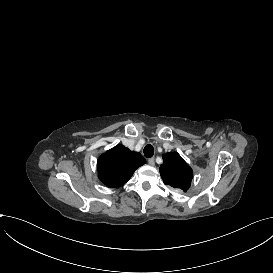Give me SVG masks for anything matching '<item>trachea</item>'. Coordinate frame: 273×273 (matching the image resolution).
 <instances>
[{"label": "trachea", "instance_id": "trachea-1", "mask_svg": "<svg viewBox=\"0 0 273 273\" xmlns=\"http://www.w3.org/2000/svg\"><path fill=\"white\" fill-rule=\"evenodd\" d=\"M143 153L147 158H151L154 155V148L152 145H146L143 149Z\"/></svg>", "mask_w": 273, "mask_h": 273}]
</instances>
